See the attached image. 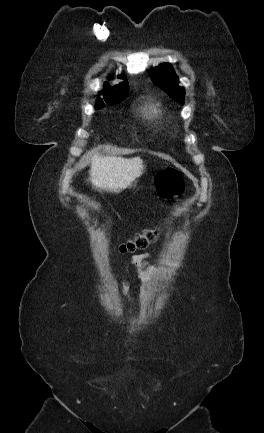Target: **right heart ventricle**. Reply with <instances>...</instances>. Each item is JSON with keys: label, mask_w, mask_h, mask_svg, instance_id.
<instances>
[{"label": "right heart ventricle", "mask_w": 264, "mask_h": 433, "mask_svg": "<svg viewBox=\"0 0 264 433\" xmlns=\"http://www.w3.org/2000/svg\"><path fill=\"white\" fill-rule=\"evenodd\" d=\"M147 116L153 120L162 119V111L158 105H150L146 110Z\"/></svg>", "instance_id": "obj_1"}]
</instances>
